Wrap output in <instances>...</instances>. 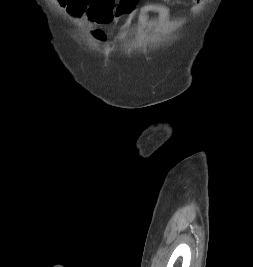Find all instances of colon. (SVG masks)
<instances>
[{
  "label": "colon",
  "mask_w": 253,
  "mask_h": 267,
  "mask_svg": "<svg viewBox=\"0 0 253 267\" xmlns=\"http://www.w3.org/2000/svg\"><path fill=\"white\" fill-rule=\"evenodd\" d=\"M59 2L61 4H65L66 2H68V0H59ZM93 36L98 41H103V40H105V37H106L105 33L101 29H97V30L93 31Z\"/></svg>",
  "instance_id": "obj_1"
}]
</instances>
